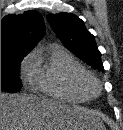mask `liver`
Segmentation results:
<instances>
[{
	"mask_svg": "<svg viewBox=\"0 0 123 130\" xmlns=\"http://www.w3.org/2000/svg\"><path fill=\"white\" fill-rule=\"evenodd\" d=\"M96 115L57 100L1 93V130H96Z\"/></svg>",
	"mask_w": 123,
	"mask_h": 130,
	"instance_id": "1",
	"label": "liver"
}]
</instances>
